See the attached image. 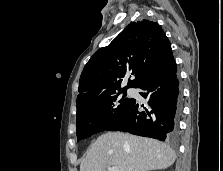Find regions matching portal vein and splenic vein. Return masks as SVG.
I'll return each mask as SVG.
<instances>
[{
  "mask_svg": "<svg viewBox=\"0 0 223 171\" xmlns=\"http://www.w3.org/2000/svg\"><path fill=\"white\" fill-rule=\"evenodd\" d=\"M108 171H119V168L116 166L108 167Z\"/></svg>",
  "mask_w": 223,
  "mask_h": 171,
  "instance_id": "18ae733b",
  "label": "portal vein and splenic vein"
}]
</instances>
